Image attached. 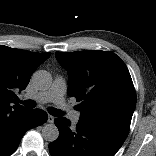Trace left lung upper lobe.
<instances>
[{
  "mask_svg": "<svg viewBox=\"0 0 156 156\" xmlns=\"http://www.w3.org/2000/svg\"><path fill=\"white\" fill-rule=\"evenodd\" d=\"M56 59L68 73V95L81 102L79 122L127 137L136 93L125 63L109 51L56 52Z\"/></svg>",
  "mask_w": 156,
  "mask_h": 156,
  "instance_id": "1",
  "label": "left lung upper lobe"
}]
</instances>
